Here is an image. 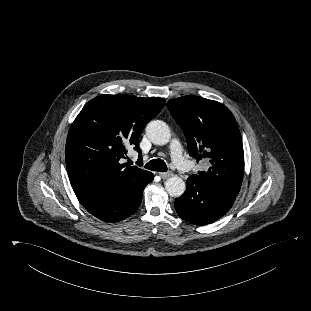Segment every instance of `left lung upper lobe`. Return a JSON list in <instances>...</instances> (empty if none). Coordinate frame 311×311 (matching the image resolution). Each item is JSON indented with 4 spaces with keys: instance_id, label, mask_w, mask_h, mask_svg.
<instances>
[{
    "instance_id": "obj_1",
    "label": "left lung upper lobe",
    "mask_w": 311,
    "mask_h": 311,
    "mask_svg": "<svg viewBox=\"0 0 311 311\" xmlns=\"http://www.w3.org/2000/svg\"><path fill=\"white\" fill-rule=\"evenodd\" d=\"M167 107L185 134L190 156L209 162V168L197 176L237 197L244 174V151L231 111L217 101L194 95L171 99Z\"/></svg>"
}]
</instances>
